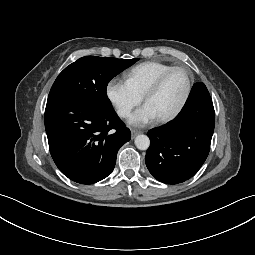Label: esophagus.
Segmentation results:
<instances>
[{
    "mask_svg": "<svg viewBox=\"0 0 255 255\" xmlns=\"http://www.w3.org/2000/svg\"><path fill=\"white\" fill-rule=\"evenodd\" d=\"M140 133V131L138 130H131V135L134 138L136 135H138Z\"/></svg>",
    "mask_w": 255,
    "mask_h": 255,
    "instance_id": "esophagus-1",
    "label": "esophagus"
}]
</instances>
